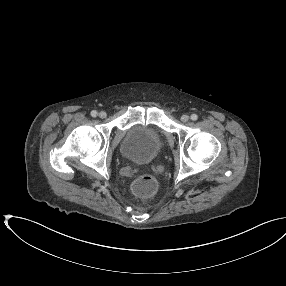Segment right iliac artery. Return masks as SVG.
<instances>
[{
	"label": "right iliac artery",
	"mask_w": 286,
	"mask_h": 286,
	"mask_svg": "<svg viewBox=\"0 0 286 286\" xmlns=\"http://www.w3.org/2000/svg\"><path fill=\"white\" fill-rule=\"evenodd\" d=\"M91 116L92 117H96L97 116V112L95 110L91 111Z\"/></svg>",
	"instance_id": "right-iliac-artery-1"
}]
</instances>
